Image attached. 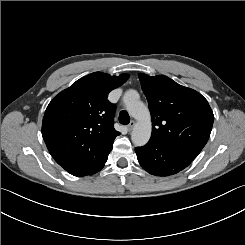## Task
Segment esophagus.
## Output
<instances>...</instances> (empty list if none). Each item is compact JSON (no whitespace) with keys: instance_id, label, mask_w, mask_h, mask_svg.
I'll list each match as a JSON object with an SVG mask.
<instances>
[{"instance_id":"esophagus-1","label":"esophagus","mask_w":245,"mask_h":245,"mask_svg":"<svg viewBox=\"0 0 245 245\" xmlns=\"http://www.w3.org/2000/svg\"><path fill=\"white\" fill-rule=\"evenodd\" d=\"M136 122L135 121H131L128 125H127V130L128 131H132L134 126H135Z\"/></svg>"}]
</instances>
